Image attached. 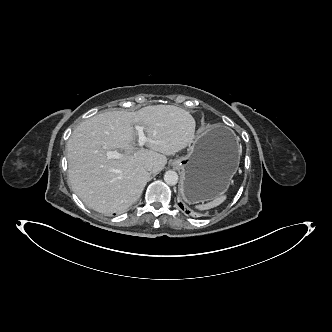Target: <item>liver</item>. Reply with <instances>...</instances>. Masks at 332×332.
Returning <instances> with one entry per match:
<instances>
[{
    "instance_id": "1",
    "label": "liver",
    "mask_w": 332,
    "mask_h": 332,
    "mask_svg": "<svg viewBox=\"0 0 332 332\" xmlns=\"http://www.w3.org/2000/svg\"><path fill=\"white\" fill-rule=\"evenodd\" d=\"M137 125L144 127L148 149L136 146ZM195 127L192 115L173 105L108 111L81 122L67 142L73 191L97 212H123L140 198L150 180L145 164L153 163L152 172H160L166 156L183 150L199 136ZM115 150L122 152L121 158L108 159L106 151Z\"/></svg>"
}]
</instances>
